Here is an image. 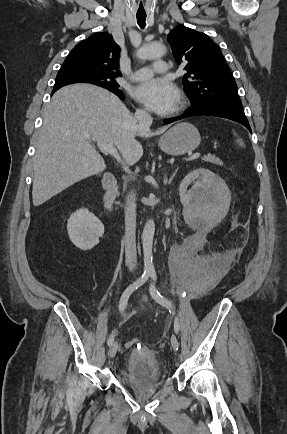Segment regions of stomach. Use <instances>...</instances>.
Here are the masks:
<instances>
[{
	"mask_svg": "<svg viewBox=\"0 0 287 434\" xmlns=\"http://www.w3.org/2000/svg\"><path fill=\"white\" fill-rule=\"evenodd\" d=\"M201 142L199 131L190 123H178L159 140V147L169 155H183L196 149Z\"/></svg>",
	"mask_w": 287,
	"mask_h": 434,
	"instance_id": "obj_1",
	"label": "stomach"
}]
</instances>
